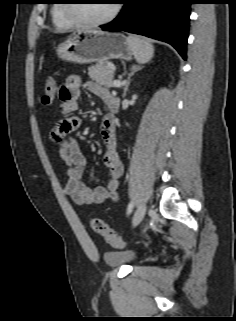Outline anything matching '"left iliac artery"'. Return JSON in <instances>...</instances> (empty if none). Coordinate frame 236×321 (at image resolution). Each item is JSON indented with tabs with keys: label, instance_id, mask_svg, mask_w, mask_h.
I'll return each mask as SVG.
<instances>
[{
	"label": "left iliac artery",
	"instance_id": "left-iliac-artery-1",
	"mask_svg": "<svg viewBox=\"0 0 236 321\" xmlns=\"http://www.w3.org/2000/svg\"><path fill=\"white\" fill-rule=\"evenodd\" d=\"M133 202H131L129 205H128V208H127V214H130L132 212V209H133Z\"/></svg>",
	"mask_w": 236,
	"mask_h": 321
}]
</instances>
